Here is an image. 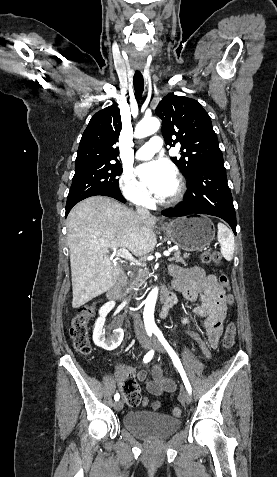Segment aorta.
Masks as SVG:
<instances>
[{
  "mask_svg": "<svg viewBox=\"0 0 277 477\" xmlns=\"http://www.w3.org/2000/svg\"><path fill=\"white\" fill-rule=\"evenodd\" d=\"M160 128V121L157 118H148L143 119L139 122L135 128V137L136 138H144L149 136L155 132H157ZM158 296V289L154 288L145 300L144 306V322L148 328H155V321H154V310L156 305V300Z\"/></svg>",
  "mask_w": 277,
  "mask_h": 477,
  "instance_id": "1",
  "label": "aorta"
}]
</instances>
